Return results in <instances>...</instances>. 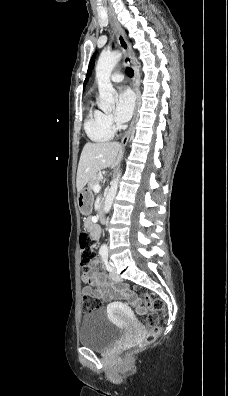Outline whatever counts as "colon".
Returning <instances> with one entry per match:
<instances>
[{
  "label": "colon",
  "instance_id": "colon-1",
  "mask_svg": "<svg viewBox=\"0 0 228 396\" xmlns=\"http://www.w3.org/2000/svg\"><path fill=\"white\" fill-rule=\"evenodd\" d=\"M79 249L81 254V266L87 271L95 261L92 250L89 247V235L86 231H82L79 234ZM144 301L146 306L149 308V312L145 316V323L148 330L144 334L142 340L138 343V346L148 345L155 341L160 333L159 315L157 311L163 309V303L161 300L153 297L151 294L146 293L144 295ZM101 302L98 298L91 294H84L82 298V309L85 312H90L99 308Z\"/></svg>",
  "mask_w": 228,
  "mask_h": 396
}]
</instances>
